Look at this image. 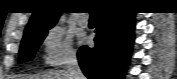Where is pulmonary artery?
<instances>
[{
  "label": "pulmonary artery",
  "instance_id": "pulmonary-artery-1",
  "mask_svg": "<svg viewBox=\"0 0 177 79\" xmlns=\"http://www.w3.org/2000/svg\"><path fill=\"white\" fill-rule=\"evenodd\" d=\"M88 23H89V20H88V17L87 16H82L80 19H79V25L81 27H87L88 26Z\"/></svg>",
  "mask_w": 177,
  "mask_h": 79
}]
</instances>
